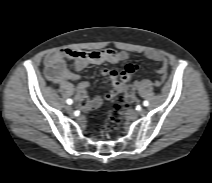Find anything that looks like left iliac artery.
<instances>
[{"label":"left iliac artery","mask_w":212,"mask_h":183,"mask_svg":"<svg viewBox=\"0 0 212 183\" xmlns=\"http://www.w3.org/2000/svg\"><path fill=\"white\" fill-rule=\"evenodd\" d=\"M143 105H144V106H148V105H149V102H148V101H144V102H143Z\"/></svg>","instance_id":"44dca946"}]
</instances>
